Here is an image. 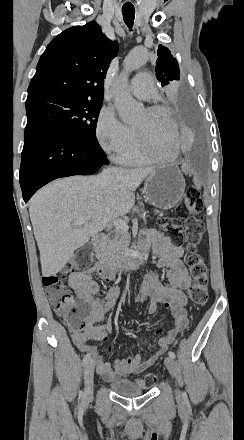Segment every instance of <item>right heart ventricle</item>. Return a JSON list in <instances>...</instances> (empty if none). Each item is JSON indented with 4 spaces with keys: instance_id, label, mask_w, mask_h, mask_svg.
<instances>
[{
    "instance_id": "right-heart-ventricle-1",
    "label": "right heart ventricle",
    "mask_w": 244,
    "mask_h": 440,
    "mask_svg": "<svg viewBox=\"0 0 244 440\" xmlns=\"http://www.w3.org/2000/svg\"><path fill=\"white\" fill-rule=\"evenodd\" d=\"M169 124V123H168ZM136 136L139 140V133L136 131ZM139 141L134 149L126 152L118 153L115 160L126 166H149L153 163V155L149 152L154 146L140 147Z\"/></svg>"
}]
</instances>
